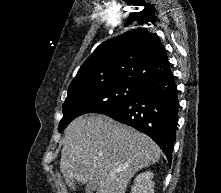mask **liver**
<instances>
[{
	"label": "liver",
	"mask_w": 221,
	"mask_h": 193,
	"mask_svg": "<svg viewBox=\"0 0 221 193\" xmlns=\"http://www.w3.org/2000/svg\"><path fill=\"white\" fill-rule=\"evenodd\" d=\"M160 148L147 135L108 116L90 114L65 130L60 170L68 187L96 181L93 192L125 193L131 178L160 159ZM121 169L120 171H117Z\"/></svg>",
	"instance_id": "liver-1"
}]
</instances>
